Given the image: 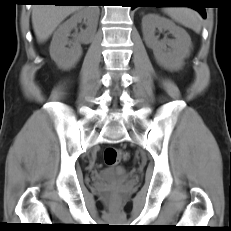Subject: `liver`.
<instances>
[{"label":"liver","instance_id":"obj_1","mask_svg":"<svg viewBox=\"0 0 231 231\" xmlns=\"http://www.w3.org/2000/svg\"><path fill=\"white\" fill-rule=\"evenodd\" d=\"M82 8L77 5H35L32 24L37 40L46 41L65 18Z\"/></svg>","mask_w":231,"mask_h":231}]
</instances>
